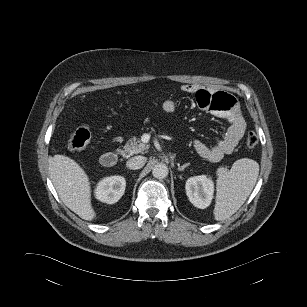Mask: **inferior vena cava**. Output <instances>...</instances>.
<instances>
[{"instance_id": "inferior-vena-cava-1", "label": "inferior vena cava", "mask_w": 307, "mask_h": 307, "mask_svg": "<svg viewBox=\"0 0 307 307\" xmlns=\"http://www.w3.org/2000/svg\"><path fill=\"white\" fill-rule=\"evenodd\" d=\"M145 163H146V158L144 156H134L126 162V166L129 169L137 170L142 168L145 165Z\"/></svg>"}]
</instances>
